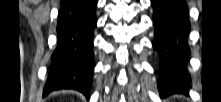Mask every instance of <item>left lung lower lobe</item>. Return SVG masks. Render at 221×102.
I'll list each match as a JSON object with an SVG mask.
<instances>
[{"label":"left lung lower lobe","instance_id":"left-lung-lower-lobe-1","mask_svg":"<svg viewBox=\"0 0 221 102\" xmlns=\"http://www.w3.org/2000/svg\"><path fill=\"white\" fill-rule=\"evenodd\" d=\"M155 37L153 47L160 58L158 86L161 96L187 93L190 76L186 68L190 49L188 11L183 0H151Z\"/></svg>","mask_w":221,"mask_h":102}]
</instances>
